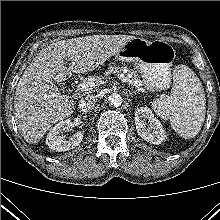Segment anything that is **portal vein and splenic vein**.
I'll return each instance as SVG.
<instances>
[{
	"label": "portal vein and splenic vein",
	"mask_w": 220,
	"mask_h": 220,
	"mask_svg": "<svg viewBox=\"0 0 220 220\" xmlns=\"http://www.w3.org/2000/svg\"><path fill=\"white\" fill-rule=\"evenodd\" d=\"M117 77L123 81V82H126V83H129L131 84V80H129L127 77H125L123 74H117ZM96 86V83L94 81H84L82 83H80L78 86H77V90L79 91H90L92 90L94 87Z\"/></svg>",
	"instance_id": "18ae733b"
}]
</instances>
